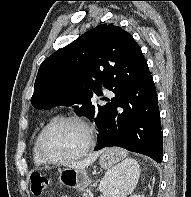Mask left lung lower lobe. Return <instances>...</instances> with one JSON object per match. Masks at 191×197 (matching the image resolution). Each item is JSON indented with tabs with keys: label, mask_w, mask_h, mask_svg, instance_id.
I'll return each mask as SVG.
<instances>
[{
	"label": "left lung lower lobe",
	"mask_w": 191,
	"mask_h": 197,
	"mask_svg": "<svg viewBox=\"0 0 191 197\" xmlns=\"http://www.w3.org/2000/svg\"><path fill=\"white\" fill-rule=\"evenodd\" d=\"M115 97L92 119L98 127L96 150L119 146L160 163L163 142L158 98L148 66L125 71L112 90Z\"/></svg>",
	"instance_id": "left-lung-lower-lobe-1"
}]
</instances>
